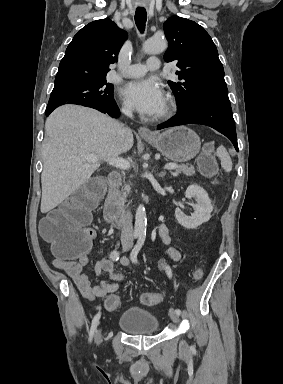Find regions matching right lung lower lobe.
Wrapping results in <instances>:
<instances>
[{
    "label": "right lung lower lobe",
    "instance_id": "98d812e1",
    "mask_svg": "<svg viewBox=\"0 0 283 384\" xmlns=\"http://www.w3.org/2000/svg\"><path fill=\"white\" fill-rule=\"evenodd\" d=\"M81 105L97 109L100 112L107 113L108 115L114 118H117L120 114L119 108L115 100L108 101V102H90V103H85ZM54 109H55L54 107H47L46 116H48Z\"/></svg>",
    "mask_w": 283,
    "mask_h": 384
}]
</instances>
